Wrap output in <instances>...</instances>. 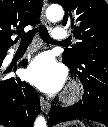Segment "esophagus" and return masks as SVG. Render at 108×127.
I'll return each mask as SVG.
<instances>
[{
	"label": "esophagus",
	"instance_id": "esophagus-1",
	"mask_svg": "<svg viewBox=\"0 0 108 127\" xmlns=\"http://www.w3.org/2000/svg\"><path fill=\"white\" fill-rule=\"evenodd\" d=\"M47 0L43 1V7H42V12H41V22L44 25H49V21L46 18V8H47ZM40 104H41V109L42 111L47 114L50 110V102L44 99V97H40Z\"/></svg>",
	"mask_w": 108,
	"mask_h": 127
}]
</instances>
